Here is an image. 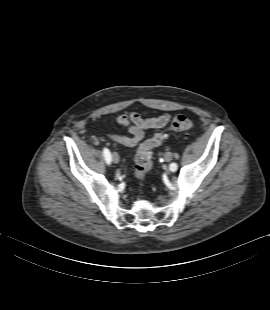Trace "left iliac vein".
<instances>
[{
    "mask_svg": "<svg viewBox=\"0 0 270 310\" xmlns=\"http://www.w3.org/2000/svg\"><path fill=\"white\" fill-rule=\"evenodd\" d=\"M164 158L167 162H169L172 159V153L170 152L165 153Z\"/></svg>",
    "mask_w": 270,
    "mask_h": 310,
    "instance_id": "4c4485c4",
    "label": "left iliac vein"
}]
</instances>
